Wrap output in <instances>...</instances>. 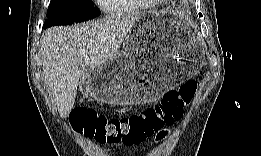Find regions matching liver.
<instances>
[{"label":"liver","mask_w":261,"mask_h":156,"mask_svg":"<svg viewBox=\"0 0 261 156\" xmlns=\"http://www.w3.org/2000/svg\"><path fill=\"white\" fill-rule=\"evenodd\" d=\"M140 17L112 15L96 22L44 31L43 74L61 118H66L73 109L79 81L119 52Z\"/></svg>","instance_id":"obj_1"}]
</instances>
